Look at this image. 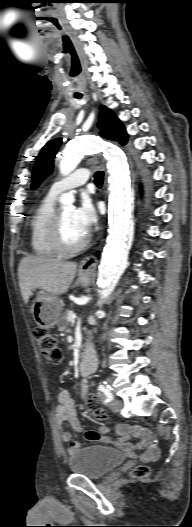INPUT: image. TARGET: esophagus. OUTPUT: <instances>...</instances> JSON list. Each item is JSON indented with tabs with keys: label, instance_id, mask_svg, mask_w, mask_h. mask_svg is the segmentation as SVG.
Segmentation results:
<instances>
[{
	"label": "esophagus",
	"instance_id": "obj_1",
	"mask_svg": "<svg viewBox=\"0 0 192 527\" xmlns=\"http://www.w3.org/2000/svg\"><path fill=\"white\" fill-rule=\"evenodd\" d=\"M97 262V258L94 255H87L80 261L79 270L82 272L94 271L96 269Z\"/></svg>",
	"mask_w": 192,
	"mask_h": 527
}]
</instances>
